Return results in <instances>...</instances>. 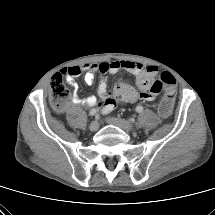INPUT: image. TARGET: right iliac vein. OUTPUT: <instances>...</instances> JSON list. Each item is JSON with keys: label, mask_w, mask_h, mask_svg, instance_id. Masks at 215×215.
<instances>
[{"label": "right iliac vein", "mask_w": 215, "mask_h": 215, "mask_svg": "<svg viewBox=\"0 0 215 215\" xmlns=\"http://www.w3.org/2000/svg\"><path fill=\"white\" fill-rule=\"evenodd\" d=\"M91 131H97L99 129V123L97 121H92L89 125Z\"/></svg>", "instance_id": "obj_1"}]
</instances>
